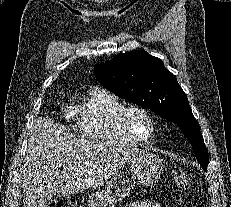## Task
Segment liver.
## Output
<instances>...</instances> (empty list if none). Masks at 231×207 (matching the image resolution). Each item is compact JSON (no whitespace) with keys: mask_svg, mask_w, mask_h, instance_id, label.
<instances>
[{"mask_svg":"<svg viewBox=\"0 0 231 207\" xmlns=\"http://www.w3.org/2000/svg\"><path fill=\"white\" fill-rule=\"evenodd\" d=\"M140 150L104 140L77 138L46 117L34 121L24 165L23 207H44L51 194L69 196L102 186Z\"/></svg>","mask_w":231,"mask_h":207,"instance_id":"liver-1","label":"liver"}]
</instances>
